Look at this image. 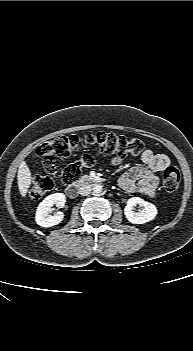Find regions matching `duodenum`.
<instances>
[{"label": "duodenum", "instance_id": "obj_1", "mask_svg": "<svg viewBox=\"0 0 193 351\" xmlns=\"http://www.w3.org/2000/svg\"><path fill=\"white\" fill-rule=\"evenodd\" d=\"M102 182H103L102 178H100L98 176H84L77 183L69 185L66 188V193L70 198H75L79 193V189L83 185H85L87 183L98 184V183H102Z\"/></svg>", "mask_w": 193, "mask_h": 351}]
</instances>
